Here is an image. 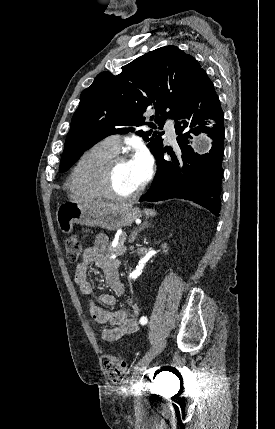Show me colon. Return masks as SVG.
I'll return each mask as SVG.
<instances>
[{"label":"colon","mask_w":275,"mask_h":429,"mask_svg":"<svg viewBox=\"0 0 275 429\" xmlns=\"http://www.w3.org/2000/svg\"><path fill=\"white\" fill-rule=\"evenodd\" d=\"M64 244L67 259L71 262L76 261L83 250L82 241L75 236H68ZM125 367V361L114 356H107L103 362L104 372L111 381L120 379Z\"/></svg>","instance_id":"1"}]
</instances>
